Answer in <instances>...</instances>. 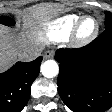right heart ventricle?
Instances as JSON below:
<instances>
[{"instance_id": "right-heart-ventricle-1", "label": "right heart ventricle", "mask_w": 112, "mask_h": 112, "mask_svg": "<svg viewBox=\"0 0 112 112\" xmlns=\"http://www.w3.org/2000/svg\"><path fill=\"white\" fill-rule=\"evenodd\" d=\"M82 16L79 14H66L47 23L39 33L46 43H58L70 36L76 22Z\"/></svg>"}]
</instances>
